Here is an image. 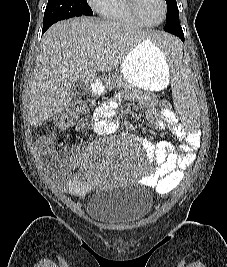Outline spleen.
Masks as SVG:
<instances>
[{
	"label": "spleen",
	"mask_w": 227,
	"mask_h": 267,
	"mask_svg": "<svg viewBox=\"0 0 227 267\" xmlns=\"http://www.w3.org/2000/svg\"><path fill=\"white\" fill-rule=\"evenodd\" d=\"M151 41H155V47H160L162 55H167L171 77V87H174L173 98H185L186 100H174V105H198V100H194L192 92V76H189V63H182V55H185L184 46L177 42L176 36L170 33H157L151 36ZM177 115H200L199 106H175ZM201 116H179V125L182 129H203L200 124Z\"/></svg>",
	"instance_id": "spleen-1"
}]
</instances>
